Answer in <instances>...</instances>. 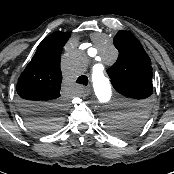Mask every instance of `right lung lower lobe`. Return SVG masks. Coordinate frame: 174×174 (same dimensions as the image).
Returning a JSON list of instances; mask_svg holds the SVG:
<instances>
[{"label": "right lung lower lobe", "instance_id": "98d812e1", "mask_svg": "<svg viewBox=\"0 0 174 174\" xmlns=\"http://www.w3.org/2000/svg\"><path fill=\"white\" fill-rule=\"evenodd\" d=\"M18 104L22 115L29 120L37 115L48 113L54 106L61 103L44 104L19 100Z\"/></svg>", "mask_w": 174, "mask_h": 174}]
</instances>
